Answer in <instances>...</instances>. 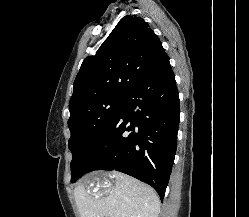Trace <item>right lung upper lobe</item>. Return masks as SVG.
Listing matches in <instances>:
<instances>
[{
    "mask_svg": "<svg viewBox=\"0 0 249 217\" xmlns=\"http://www.w3.org/2000/svg\"><path fill=\"white\" fill-rule=\"evenodd\" d=\"M166 54L161 41L140 17L125 16L100 46L84 59L69 110L105 96H126Z\"/></svg>",
    "mask_w": 249,
    "mask_h": 217,
    "instance_id": "right-lung-upper-lobe-1",
    "label": "right lung upper lobe"
}]
</instances>
